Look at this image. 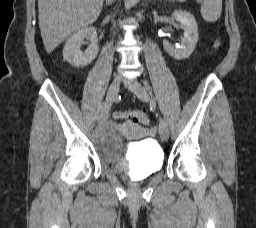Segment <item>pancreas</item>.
Instances as JSON below:
<instances>
[{"instance_id": "obj_1", "label": "pancreas", "mask_w": 256, "mask_h": 228, "mask_svg": "<svg viewBox=\"0 0 256 228\" xmlns=\"http://www.w3.org/2000/svg\"><path fill=\"white\" fill-rule=\"evenodd\" d=\"M172 2H185L186 0H170Z\"/></svg>"}]
</instances>
